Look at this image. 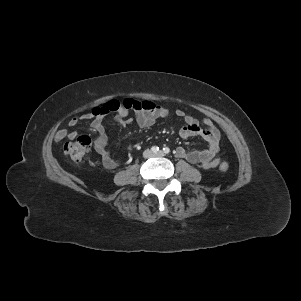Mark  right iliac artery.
I'll list each match as a JSON object with an SVG mask.
<instances>
[{"instance_id":"right-iliac-artery-1","label":"right iliac artery","mask_w":301,"mask_h":301,"mask_svg":"<svg viewBox=\"0 0 301 301\" xmlns=\"http://www.w3.org/2000/svg\"><path fill=\"white\" fill-rule=\"evenodd\" d=\"M151 150H152V152L156 153V152H158L159 147L153 146V147L151 148Z\"/></svg>"}]
</instances>
